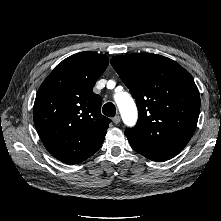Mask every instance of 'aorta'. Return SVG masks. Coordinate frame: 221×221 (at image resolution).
Listing matches in <instances>:
<instances>
[{"mask_svg":"<svg viewBox=\"0 0 221 221\" xmlns=\"http://www.w3.org/2000/svg\"><path fill=\"white\" fill-rule=\"evenodd\" d=\"M115 101L124 123L129 126L134 125L137 121L138 113L132 97L126 92H121L115 95Z\"/></svg>","mask_w":221,"mask_h":221,"instance_id":"1","label":"aorta"}]
</instances>
